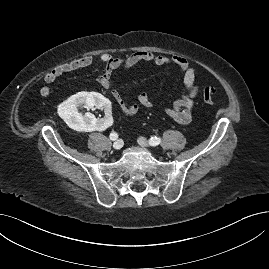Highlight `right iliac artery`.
I'll return each instance as SVG.
<instances>
[{"label": "right iliac artery", "mask_w": 269, "mask_h": 269, "mask_svg": "<svg viewBox=\"0 0 269 269\" xmlns=\"http://www.w3.org/2000/svg\"><path fill=\"white\" fill-rule=\"evenodd\" d=\"M109 137L111 140H116L118 138V134L116 132H112V133H110Z\"/></svg>", "instance_id": "82829eb1"}]
</instances>
